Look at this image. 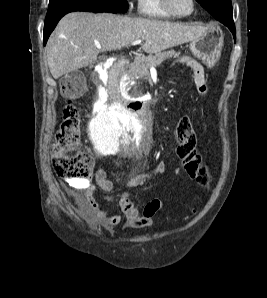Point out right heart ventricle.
<instances>
[{
	"label": "right heart ventricle",
	"mask_w": 267,
	"mask_h": 298,
	"mask_svg": "<svg viewBox=\"0 0 267 298\" xmlns=\"http://www.w3.org/2000/svg\"><path fill=\"white\" fill-rule=\"evenodd\" d=\"M138 13L148 19L170 20L174 17L166 12L160 0H138Z\"/></svg>",
	"instance_id": "right-heart-ventricle-1"
}]
</instances>
